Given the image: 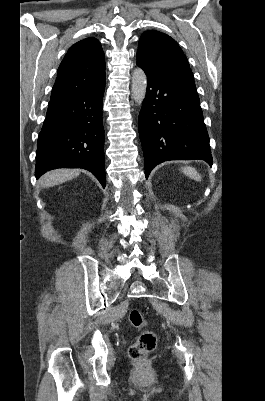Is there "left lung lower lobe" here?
Here are the masks:
<instances>
[{
    "label": "left lung lower lobe",
    "mask_w": 265,
    "mask_h": 401,
    "mask_svg": "<svg viewBox=\"0 0 265 401\" xmlns=\"http://www.w3.org/2000/svg\"><path fill=\"white\" fill-rule=\"evenodd\" d=\"M142 69L148 83L139 114L146 178L157 164L168 160L201 159L212 165L194 81L164 78Z\"/></svg>",
    "instance_id": "0a47b994"
}]
</instances>
